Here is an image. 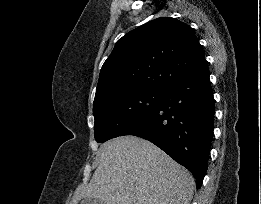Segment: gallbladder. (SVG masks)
Instances as JSON below:
<instances>
[{"label": "gallbladder", "mask_w": 261, "mask_h": 204, "mask_svg": "<svg viewBox=\"0 0 261 204\" xmlns=\"http://www.w3.org/2000/svg\"><path fill=\"white\" fill-rule=\"evenodd\" d=\"M80 204H104L101 200L94 198H85L81 201Z\"/></svg>", "instance_id": "1"}]
</instances>
